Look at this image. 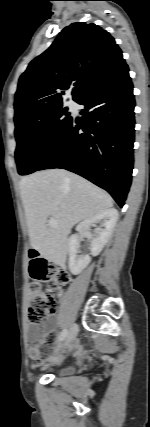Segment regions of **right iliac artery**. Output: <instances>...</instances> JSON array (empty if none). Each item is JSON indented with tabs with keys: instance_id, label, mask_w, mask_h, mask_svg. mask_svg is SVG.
Here are the masks:
<instances>
[{
	"instance_id": "obj_1",
	"label": "right iliac artery",
	"mask_w": 150,
	"mask_h": 427,
	"mask_svg": "<svg viewBox=\"0 0 150 427\" xmlns=\"http://www.w3.org/2000/svg\"><path fill=\"white\" fill-rule=\"evenodd\" d=\"M66 336H67V329H64L59 336V341H62Z\"/></svg>"
}]
</instances>
